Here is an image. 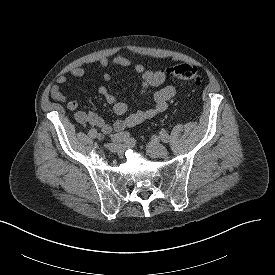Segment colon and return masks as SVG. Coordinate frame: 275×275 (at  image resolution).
<instances>
[{
	"label": "colon",
	"instance_id": "5ec220e1",
	"mask_svg": "<svg viewBox=\"0 0 275 275\" xmlns=\"http://www.w3.org/2000/svg\"><path fill=\"white\" fill-rule=\"evenodd\" d=\"M165 72L169 77L184 80L196 86L202 84V78L199 74L198 68L191 64L173 65L166 68Z\"/></svg>",
	"mask_w": 275,
	"mask_h": 275
}]
</instances>
